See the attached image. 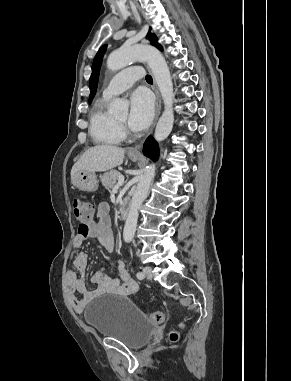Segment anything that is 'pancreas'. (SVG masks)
<instances>
[{
  "mask_svg": "<svg viewBox=\"0 0 291 381\" xmlns=\"http://www.w3.org/2000/svg\"><path fill=\"white\" fill-rule=\"evenodd\" d=\"M120 176V172L117 170H111L109 172L104 173L100 179L102 185L106 188H114L116 185V182Z\"/></svg>",
  "mask_w": 291,
  "mask_h": 381,
  "instance_id": "obj_1",
  "label": "pancreas"
}]
</instances>
